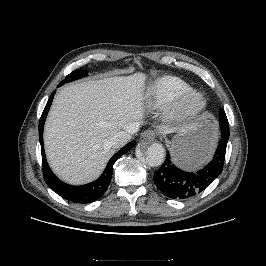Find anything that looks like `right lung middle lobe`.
Listing matches in <instances>:
<instances>
[{"mask_svg":"<svg viewBox=\"0 0 266 266\" xmlns=\"http://www.w3.org/2000/svg\"><path fill=\"white\" fill-rule=\"evenodd\" d=\"M86 75H87V71H84V70L73 71L72 73L67 75L63 81H61L60 85H63L64 83H67L70 81H74V80L79 79L82 76H86Z\"/></svg>","mask_w":266,"mask_h":266,"instance_id":"obj_1","label":"right lung middle lobe"}]
</instances>
